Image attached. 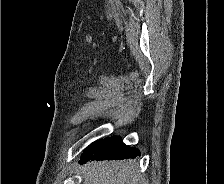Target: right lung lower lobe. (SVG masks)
Listing matches in <instances>:
<instances>
[{
    "label": "right lung lower lobe",
    "mask_w": 224,
    "mask_h": 184,
    "mask_svg": "<svg viewBox=\"0 0 224 184\" xmlns=\"http://www.w3.org/2000/svg\"><path fill=\"white\" fill-rule=\"evenodd\" d=\"M139 155V150L125 145L120 136H112L89 145L82 153L80 163L83 164L89 160H123Z\"/></svg>",
    "instance_id": "obj_1"
}]
</instances>
